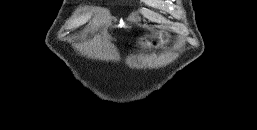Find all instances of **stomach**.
<instances>
[{"mask_svg": "<svg viewBox=\"0 0 257 130\" xmlns=\"http://www.w3.org/2000/svg\"><path fill=\"white\" fill-rule=\"evenodd\" d=\"M170 34L165 30H159L154 35H145L143 36L140 42L137 43V46L145 49H157L163 44L167 43L170 40Z\"/></svg>", "mask_w": 257, "mask_h": 130, "instance_id": "0dacf381", "label": "stomach"}]
</instances>
